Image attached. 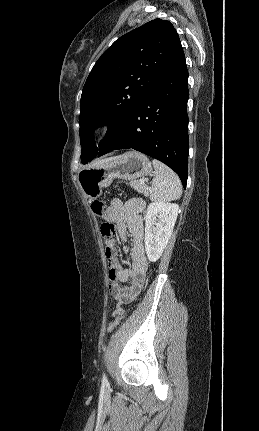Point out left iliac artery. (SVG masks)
<instances>
[{
    "label": "left iliac artery",
    "mask_w": 259,
    "mask_h": 431,
    "mask_svg": "<svg viewBox=\"0 0 259 431\" xmlns=\"http://www.w3.org/2000/svg\"><path fill=\"white\" fill-rule=\"evenodd\" d=\"M102 381H103V383H107V378H106V375H105V374H103Z\"/></svg>",
    "instance_id": "44dca946"
}]
</instances>
